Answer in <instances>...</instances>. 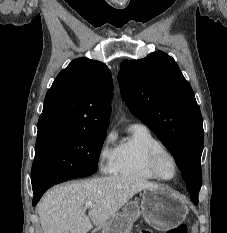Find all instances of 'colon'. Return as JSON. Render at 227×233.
Returning <instances> with one entry per match:
<instances>
[{
  "label": "colon",
  "mask_w": 227,
  "mask_h": 233,
  "mask_svg": "<svg viewBox=\"0 0 227 233\" xmlns=\"http://www.w3.org/2000/svg\"><path fill=\"white\" fill-rule=\"evenodd\" d=\"M140 233H154L150 229H143ZM166 233H187L186 225H179L171 230H168Z\"/></svg>",
  "instance_id": "5ec220e1"
}]
</instances>
